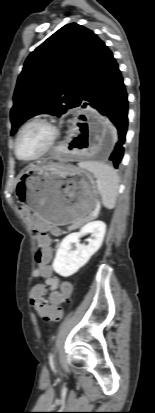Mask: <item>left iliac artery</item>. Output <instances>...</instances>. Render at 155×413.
Listing matches in <instances>:
<instances>
[{
	"label": "left iliac artery",
	"instance_id": "obj_1",
	"mask_svg": "<svg viewBox=\"0 0 155 413\" xmlns=\"http://www.w3.org/2000/svg\"><path fill=\"white\" fill-rule=\"evenodd\" d=\"M49 360H50V365H51V367L54 368V365H53V355H52V354L50 355Z\"/></svg>",
	"mask_w": 155,
	"mask_h": 413
}]
</instances>
